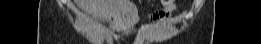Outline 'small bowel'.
I'll return each instance as SVG.
<instances>
[{"mask_svg": "<svg viewBox=\"0 0 261 44\" xmlns=\"http://www.w3.org/2000/svg\"><path fill=\"white\" fill-rule=\"evenodd\" d=\"M175 9L174 6L170 5V6H165L163 11H161L160 13H157L154 16V19L157 20H166L169 18L170 13Z\"/></svg>", "mask_w": 261, "mask_h": 44, "instance_id": "c3829d8e", "label": "small bowel"}]
</instances>
